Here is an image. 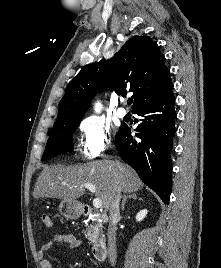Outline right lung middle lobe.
Returning a JSON list of instances; mask_svg holds the SVG:
<instances>
[{
	"label": "right lung middle lobe",
	"instance_id": "right-lung-middle-lobe-1",
	"mask_svg": "<svg viewBox=\"0 0 221 268\" xmlns=\"http://www.w3.org/2000/svg\"><path fill=\"white\" fill-rule=\"evenodd\" d=\"M82 117L67 121L56 122L47 141L42 160H48L62 152L73 150V133Z\"/></svg>",
	"mask_w": 221,
	"mask_h": 268
}]
</instances>
